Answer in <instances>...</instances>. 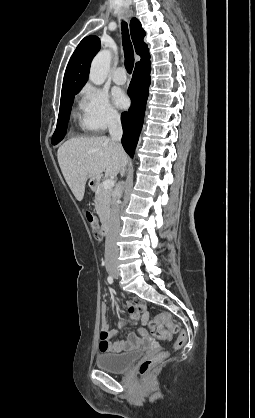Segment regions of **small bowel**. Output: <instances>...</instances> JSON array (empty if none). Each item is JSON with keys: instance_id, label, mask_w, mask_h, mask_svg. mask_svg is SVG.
I'll list each match as a JSON object with an SVG mask.
<instances>
[{"instance_id": "1", "label": "small bowel", "mask_w": 255, "mask_h": 418, "mask_svg": "<svg viewBox=\"0 0 255 418\" xmlns=\"http://www.w3.org/2000/svg\"><path fill=\"white\" fill-rule=\"evenodd\" d=\"M128 307V318L125 321L120 322V326L124 327L127 322L134 321L138 318H141L143 324L148 321V314L145 312V304L140 300H135L133 302L127 303ZM107 306L104 304L102 306V323H101V332H100V342L99 350L101 352H114L119 353L126 351L128 349L134 348L140 342L143 336H146V331L140 329L138 333H131L127 339L112 342V339L117 335L116 330H111L109 324L106 320Z\"/></svg>"}]
</instances>
